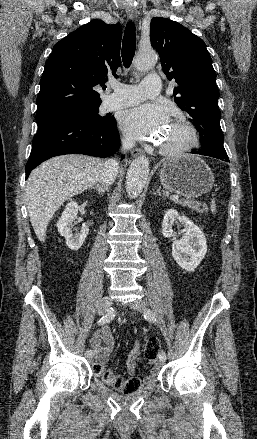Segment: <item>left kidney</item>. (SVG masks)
Instances as JSON below:
<instances>
[{
    "instance_id": "5707ae66",
    "label": "left kidney",
    "mask_w": 257,
    "mask_h": 439,
    "mask_svg": "<svg viewBox=\"0 0 257 439\" xmlns=\"http://www.w3.org/2000/svg\"><path fill=\"white\" fill-rule=\"evenodd\" d=\"M175 224L184 227L183 237L179 240L174 237ZM162 234L172 238V256L177 264L186 271H194L207 252L206 238L201 229L186 216L179 215L177 210L169 209L163 218Z\"/></svg>"
}]
</instances>
